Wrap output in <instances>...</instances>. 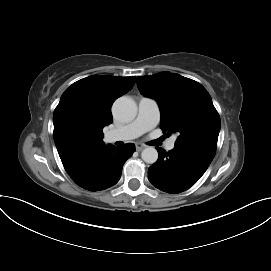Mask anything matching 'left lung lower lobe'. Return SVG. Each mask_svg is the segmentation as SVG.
<instances>
[{
  "instance_id": "left-lung-lower-lobe-1",
  "label": "left lung lower lobe",
  "mask_w": 271,
  "mask_h": 271,
  "mask_svg": "<svg viewBox=\"0 0 271 271\" xmlns=\"http://www.w3.org/2000/svg\"><path fill=\"white\" fill-rule=\"evenodd\" d=\"M157 150L159 158L150 166L148 179L156 188L172 194L193 186L215 156V151L190 144H175L168 152Z\"/></svg>"
}]
</instances>
